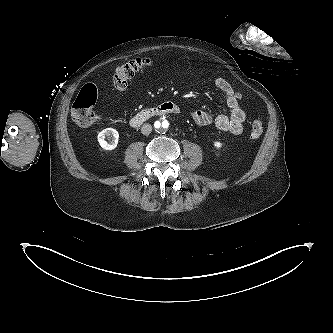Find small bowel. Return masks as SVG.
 <instances>
[{
	"label": "small bowel",
	"instance_id": "1",
	"mask_svg": "<svg viewBox=\"0 0 333 333\" xmlns=\"http://www.w3.org/2000/svg\"><path fill=\"white\" fill-rule=\"evenodd\" d=\"M216 89L224 97L229 108V114L211 115L202 109H192L190 116L199 127L213 124L218 130L239 135L243 131V124L246 118L244 110L240 106L241 94L234 90L232 85L224 78L214 80Z\"/></svg>",
	"mask_w": 333,
	"mask_h": 333
}]
</instances>
